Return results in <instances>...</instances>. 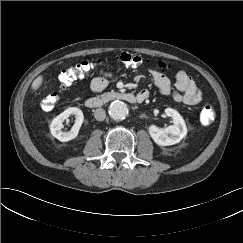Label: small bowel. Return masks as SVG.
Here are the masks:
<instances>
[{
    "instance_id": "1",
    "label": "small bowel",
    "mask_w": 243,
    "mask_h": 243,
    "mask_svg": "<svg viewBox=\"0 0 243 243\" xmlns=\"http://www.w3.org/2000/svg\"><path fill=\"white\" fill-rule=\"evenodd\" d=\"M149 74L163 95H171L172 99L177 103L186 105H196L202 99V93L196 86L194 80L184 71H178L175 75V90L171 89L169 78L162 72L157 70H149ZM111 73H104L95 77L90 84V89L93 92H100L107 87ZM138 94L146 98L149 96V91L144 89Z\"/></svg>"
}]
</instances>
